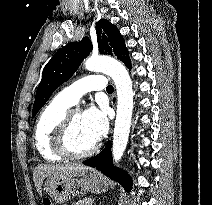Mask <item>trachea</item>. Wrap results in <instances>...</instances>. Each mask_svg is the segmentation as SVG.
Instances as JSON below:
<instances>
[{
  "label": "trachea",
  "instance_id": "3493384b",
  "mask_svg": "<svg viewBox=\"0 0 212 205\" xmlns=\"http://www.w3.org/2000/svg\"><path fill=\"white\" fill-rule=\"evenodd\" d=\"M113 90H114V88H113L112 85H108L107 88H106V91L109 92V93L113 92Z\"/></svg>",
  "mask_w": 212,
  "mask_h": 205
}]
</instances>
